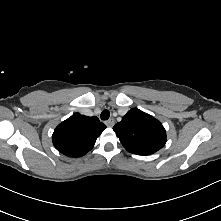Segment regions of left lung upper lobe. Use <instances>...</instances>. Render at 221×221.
Returning a JSON list of instances; mask_svg holds the SVG:
<instances>
[{"mask_svg":"<svg viewBox=\"0 0 221 221\" xmlns=\"http://www.w3.org/2000/svg\"><path fill=\"white\" fill-rule=\"evenodd\" d=\"M124 148L137 155H150L166 143L163 125L151 115L131 109L114 127Z\"/></svg>","mask_w":221,"mask_h":221,"instance_id":"left-lung-upper-lobe-1","label":"left lung upper lobe"}]
</instances>
